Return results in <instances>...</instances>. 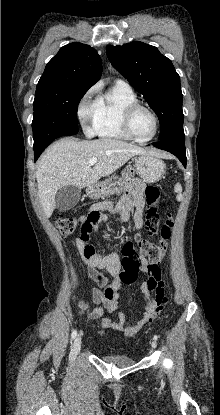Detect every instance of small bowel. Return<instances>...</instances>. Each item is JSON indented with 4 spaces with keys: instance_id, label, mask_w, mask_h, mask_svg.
I'll use <instances>...</instances> for the list:
<instances>
[{
    "instance_id": "1",
    "label": "small bowel",
    "mask_w": 220,
    "mask_h": 415,
    "mask_svg": "<svg viewBox=\"0 0 220 415\" xmlns=\"http://www.w3.org/2000/svg\"><path fill=\"white\" fill-rule=\"evenodd\" d=\"M145 185L140 181H134L130 187L124 192L121 199L112 205L109 202H102L93 205L87 215L79 217V227L75 243L84 257L87 264L88 276L96 281L98 287L88 290L89 297L102 306L95 307L88 312V317L93 320L100 321L103 329H110L124 333L125 338L130 339L135 337L138 332L147 324L151 323L163 309H157L151 301L150 295L146 290L145 283L141 286V298L144 302L143 313L138 322L134 325L125 324V316L119 313L116 319L104 317V314H112L117 309V301L119 298V289L121 288L120 271L121 265L117 250L110 252H100L95 249L89 242V234L96 231L101 223L108 219L109 214L119 215V223L128 221L133 215L134 223L138 231L142 229L143 225V209L145 200L143 192ZM141 271L146 273L148 271V262L141 259ZM112 276L113 280L108 282L103 273ZM72 301L77 304L80 313H85L89 309V304L78 298L77 295H72ZM103 334V331L101 332Z\"/></svg>"
}]
</instances>
